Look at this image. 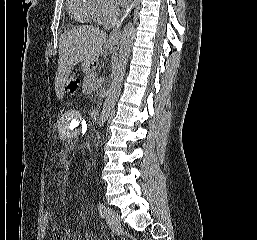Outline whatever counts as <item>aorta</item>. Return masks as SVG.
<instances>
[{"mask_svg": "<svg viewBox=\"0 0 257 240\" xmlns=\"http://www.w3.org/2000/svg\"><path fill=\"white\" fill-rule=\"evenodd\" d=\"M134 35V26L132 22H128L123 28L120 37L118 61L112 69V80L110 87L108 88L107 97L103 104V110L99 118V127H102L109 118L120 94L128 58L131 53Z\"/></svg>", "mask_w": 257, "mask_h": 240, "instance_id": "762f6f07", "label": "aorta"}]
</instances>
